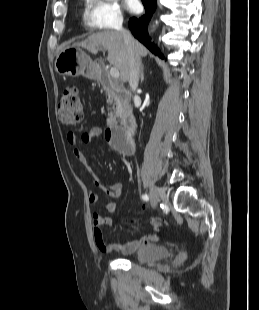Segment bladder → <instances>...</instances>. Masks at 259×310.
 <instances>
[{"mask_svg": "<svg viewBox=\"0 0 259 310\" xmlns=\"http://www.w3.org/2000/svg\"><path fill=\"white\" fill-rule=\"evenodd\" d=\"M169 255L170 250L168 247L158 244H148L137 250L132 257V261L139 264H147L165 260Z\"/></svg>", "mask_w": 259, "mask_h": 310, "instance_id": "31cf9c89", "label": "bladder"}]
</instances>
